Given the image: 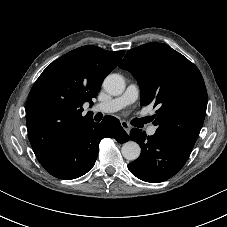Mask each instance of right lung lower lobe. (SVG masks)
Masks as SVG:
<instances>
[{
    "instance_id": "obj_1",
    "label": "right lung lower lobe",
    "mask_w": 227,
    "mask_h": 227,
    "mask_svg": "<svg viewBox=\"0 0 227 227\" xmlns=\"http://www.w3.org/2000/svg\"><path fill=\"white\" fill-rule=\"evenodd\" d=\"M119 136L128 137L115 117L106 116L101 123L91 120L40 163L54 177L64 180L78 178L93 167L100 141L105 137L118 140Z\"/></svg>"
}]
</instances>
